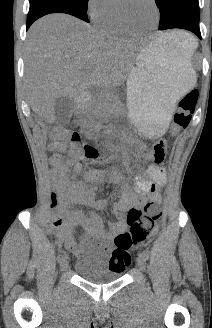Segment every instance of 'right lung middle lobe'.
<instances>
[{"instance_id":"dd1d6c3e","label":"right lung middle lobe","mask_w":212,"mask_h":328,"mask_svg":"<svg viewBox=\"0 0 212 328\" xmlns=\"http://www.w3.org/2000/svg\"><path fill=\"white\" fill-rule=\"evenodd\" d=\"M37 0H30L31 2H34ZM68 1L76 6H78L79 8H81L82 10L86 11V7L88 6V0H65Z\"/></svg>"}]
</instances>
